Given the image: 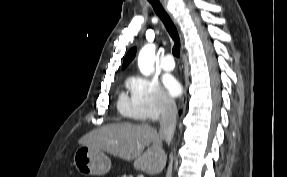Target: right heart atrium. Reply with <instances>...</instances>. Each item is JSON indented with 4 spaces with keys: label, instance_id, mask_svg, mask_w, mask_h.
I'll use <instances>...</instances> for the list:
<instances>
[{
    "label": "right heart atrium",
    "instance_id": "obj_1",
    "mask_svg": "<svg viewBox=\"0 0 287 177\" xmlns=\"http://www.w3.org/2000/svg\"><path fill=\"white\" fill-rule=\"evenodd\" d=\"M130 90L135 106V117L140 121L153 122L174 110L173 99L154 78L133 79Z\"/></svg>",
    "mask_w": 287,
    "mask_h": 177
}]
</instances>
